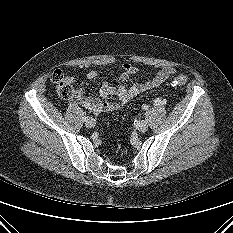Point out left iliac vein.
<instances>
[{"instance_id":"left-iliac-vein-1","label":"left iliac vein","mask_w":233,"mask_h":233,"mask_svg":"<svg viewBox=\"0 0 233 233\" xmlns=\"http://www.w3.org/2000/svg\"><path fill=\"white\" fill-rule=\"evenodd\" d=\"M137 129L140 132H146L148 129V124L146 121L142 120L139 122V124L137 125Z\"/></svg>"}]
</instances>
